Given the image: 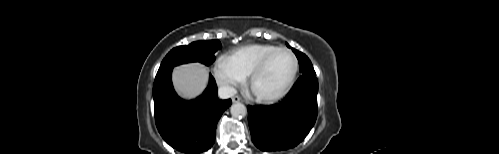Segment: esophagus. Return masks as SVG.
<instances>
[{
  "label": "esophagus",
  "mask_w": 499,
  "mask_h": 154,
  "mask_svg": "<svg viewBox=\"0 0 499 154\" xmlns=\"http://www.w3.org/2000/svg\"><path fill=\"white\" fill-rule=\"evenodd\" d=\"M232 101H233V103H236V102H240V101H242V99H241V97H239V96H234V97L232 98Z\"/></svg>",
  "instance_id": "1"
}]
</instances>
